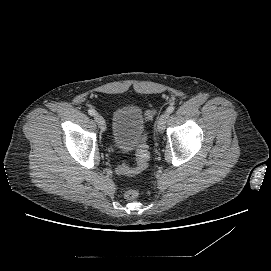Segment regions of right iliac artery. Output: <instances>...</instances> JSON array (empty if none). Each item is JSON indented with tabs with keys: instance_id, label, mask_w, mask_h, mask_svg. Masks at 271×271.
<instances>
[{
	"instance_id": "82829eb1",
	"label": "right iliac artery",
	"mask_w": 271,
	"mask_h": 271,
	"mask_svg": "<svg viewBox=\"0 0 271 271\" xmlns=\"http://www.w3.org/2000/svg\"><path fill=\"white\" fill-rule=\"evenodd\" d=\"M88 114L91 116H94V115H96V111L94 109H89Z\"/></svg>"
}]
</instances>
